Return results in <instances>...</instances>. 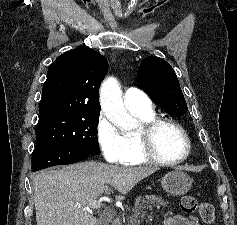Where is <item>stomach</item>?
Returning <instances> with one entry per match:
<instances>
[{
  "instance_id": "1",
  "label": "stomach",
  "mask_w": 237,
  "mask_h": 225,
  "mask_svg": "<svg viewBox=\"0 0 237 225\" xmlns=\"http://www.w3.org/2000/svg\"><path fill=\"white\" fill-rule=\"evenodd\" d=\"M163 189L172 196L186 194L192 185V179L183 171L173 170L165 174L161 180Z\"/></svg>"
}]
</instances>
